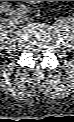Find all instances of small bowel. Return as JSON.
I'll list each match as a JSON object with an SVG mask.
<instances>
[{
	"label": "small bowel",
	"mask_w": 74,
	"mask_h": 122,
	"mask_svg": "<svg viewBox=\"0 0 74 122\" xmlns=\"http://www.w3.org/2000/svg\"><path fill=\"white\" fill-rule=\"evenodd\" d=\"M30 3H40V2H43V1H29Z\"/></svg>",
	"instance_id": "c3829d8e"
}]
</instances>
